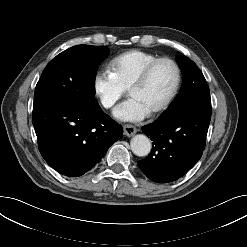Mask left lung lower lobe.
<instances>
[{
    "label": "left lung lower lobe",
    "instance_id": "0a47b994",
    "mask_svg": "<svg viewBox=\"0 0 247 247\" xmlns=\"http://www.w3.org/2000/svg\"><path fill=\"white\" fill-rule=\"evenodd\" d=\"M211 112L210 93L203 92L144 126L142 132L153 147L149 156L138 161L141 171L156 183L184 176L202 156Z\"/></svg>",
    "mask_w": 247,
    "mask_h": 247
}]
</instances>
